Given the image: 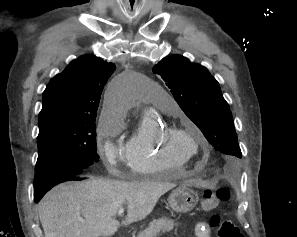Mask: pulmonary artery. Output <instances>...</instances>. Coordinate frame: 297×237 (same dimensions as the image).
<instances>
[{
  "label": "pulmonary artery",
  "instance_id": "obj_1",
  "mask_svg": "<svg viewBox=\"0 0 297 237\" xmlns=\"http://www.w3.org/2000/svg\"><path fill=\"white\" fill-rule=\"evenodd\" d=\"M158 104L162 108H167L171 111H175L177 109V104L172 97L169 95H164L158 99Z\"/></svg>",
  "mask_w": 297,
  "mask_h": 237
}]
</instances>
